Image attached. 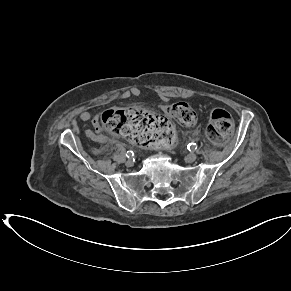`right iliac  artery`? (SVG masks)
I'll return each instance as SVG.
<instances>
[{
  "mask_svg": "<svg viewBox=\"0 0 291 291\" xmlns=\"http://www.w3.org/2000/svg\"><path fill=\"white\" fill-rule=\"evenodd\" d=\"M134 156V152L133 151H127V153H126V157H128V158H131V157H133Z\"/></svg>",
  "mask_w": 291,
  "mask_h": 291,
  "instance_id": "obj_1",
  "label": "right iliac artery"
}]
</instances>
